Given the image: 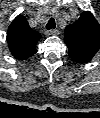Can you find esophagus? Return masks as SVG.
I'll list each match as a JSON object with an SVG mask.
<instances>
[{"label":"esophagus","instance_id":"1","mask_svg":"<svg viewBox=\"0 0 100 118\" xmlns=\"http://www.w3.org/2000/svg\"><path fill=\"white\" fill-rule=\"evenodd\" d=\"M58 34H59V31L56 30V29H51V30H46L45 31V35H47V36L58 35Z\"/></svg>","mask_w":100,"mask_h":118}]
</instances>
